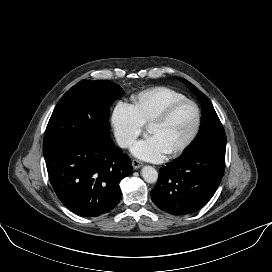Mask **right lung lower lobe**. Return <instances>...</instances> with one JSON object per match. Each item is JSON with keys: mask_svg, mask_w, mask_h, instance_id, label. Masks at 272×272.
<instances>
[{"mask_svg": "<svg viewBox=\"0 0 272 272\" xmlns=\"http://www.w3.org/2000/svg\"><path fill=\"white\" fill-rule=\"evenodd\" d=\"M44 158L57 197L84 217L112 210L120 201V181L132 173L129 156L112 139L71 137L44 151Z\"/></svg>", "mask_w": 272, "mask_h": 272, "instance_id": "obj_1", "label": "right lung lower lobe"}]
</instances>
